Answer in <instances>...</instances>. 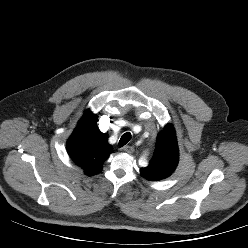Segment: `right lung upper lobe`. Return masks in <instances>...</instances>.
Segmentation results:
<instances>
[{
  "mask_svg": "<svg viewBox=\"0 0 248 248\" xmlns=\"http://www.w3.org/2000/svg\"><path fill=\"white\" fill-rule=\"evenodd\" d=\"M70 158L88 176L98 174L103 163L113 152L107 137L97 126V116L86 110L67 141Z\"/></svg>",
  "mask_w": 248,
  "mask_h": 248,
  "instance_id": "cb5924a9",
  "label": "right lung upper lobe"
}]
</instances>
